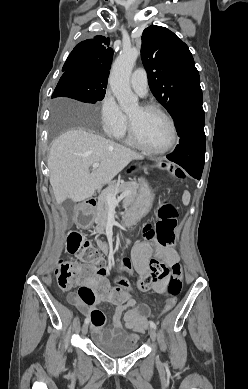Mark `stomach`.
Returning <instances> with one entry per match:
<instances>
[{
    "mask_svg": "<svg viewBox=\"0 0 248 389\" xmlns=\"http://www.w3.org/2000/svg\"><path fill=\"white\" fill-rule=\"evenodd\" d=\"M159 167L161 171H175V164H161V162H147L141 165V170H143L145 175H149V171L154 168ZM137 190L139 191L135 204H129L126 209L127 213H120L118 218L122 221V224L125 225L122 227L123 231H127V226H133L135 224L134 220H142L144 214H147L149 208L152 206L154 200V193L151 187L149 186V181L145 178H141V182L136 184ZM87 220H91L93 215L87 213L85 215Z\"/></svg>",
    "mask_w": 248,
    "mask_h": 389,
    "instance_id": "stomach-1",
    "label": "stomach"
}]
</instances>
